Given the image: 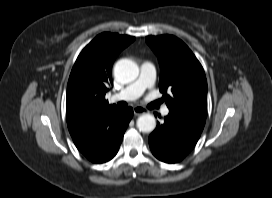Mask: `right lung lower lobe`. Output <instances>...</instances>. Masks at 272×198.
<instances>
[{
	"instance_id": "obj_1",
	"label": "right lung lower lobe",
	"mask_w": 272,
	"mask_h": 198,
	"mask_svg": "<svg viewBox=\"0 0 272 198\" xmlns=\"http://www.w3.org/2000/svg\"><path fill=\"white\" fill-rule=\"evenodd\" d=\"M133 109L114 107L72 139L78 150L93 163L111 160L118 152Z\"/></svg>"
}]
</instances>
